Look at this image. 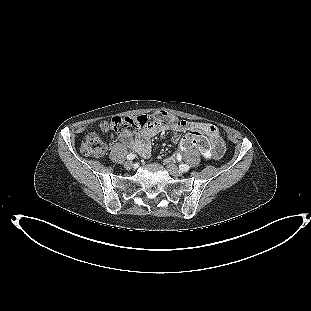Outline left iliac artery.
Wrapping results in <instances>:
<instances>
[{
  "mask_svg": "<svg viewBox=\"0 0 311 311\" xmlns=\"http://www.w3.org/2000/svg\"><path fill=\"white\" fill-rule=\"evenodd\" d=\"M179 168L183 172H187L190 169L189 165L187 164L180 165Z\"/></svg>",
  "mask_w": 311,
  "mask_h": 311,
  "instance_id": "1",
  "label": "left iliac artery"
}]
</instances>
